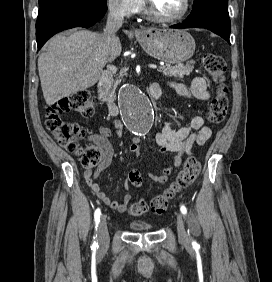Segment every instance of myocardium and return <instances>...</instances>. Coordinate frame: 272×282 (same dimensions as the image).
<instances>
[{
    "instance_id": "obj_1",
    "label": "myocardium",
    "mask_w": 272,
    "mask_h": 282,
    "mask_svg": "<svg viewBox=\"0 0 272 282\" xmlns=\"http://www.w3.org/2000/svg\"><path fill=\"white\" fill-rule=\"evenodd\" d=\"M184 7L181 13L175 16H165L159 12H157L152 5L150 4L149 0H146V12L149 16L153 17L154 19L163 21V22H177L184 19L189 10H190V0H183Z\"/></svg>"
}]
</instances>
